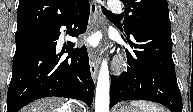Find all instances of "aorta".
<instances>
[{"label":"aorta","mask_w":193,"mask_h":112,"mask_svg":"<svg viewBox=\"0 0 193 112\" xmlns=\"http://www.w3.org/2000/svg\"><path fill=\"white\" fill-rule=\"evenodd\" d=\"M110 78L107 60H103L98 76L95 98V112H109Z\"/></svg>","instance_id":"762f6f07"}]
</instances>
